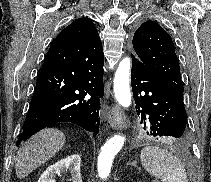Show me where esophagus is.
<instances>
[{
  "label": "esophagus",
  "mask_w": 211,
  "mask_h": 182,
  "mask_svg": "<svg viewBox=\"0 0 211 182\" xmlns=\"http://www.w3.org/2000/svg\"><path fill=\"white\" fill-rule=\"evenodd\" d=\"M113 112H117V113L121 114L122 110L118 106H115L113 108ZM107 120H108V122L110 123L111 126H116V121H115L116 117L115 116H113V117L108 116Z\"/></svg>",
  "instance_id": "obj_1"
}]
</instances>
